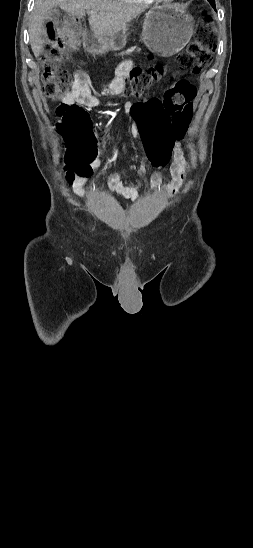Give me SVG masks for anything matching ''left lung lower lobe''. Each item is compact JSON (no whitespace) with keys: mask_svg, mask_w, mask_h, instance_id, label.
<instances>
[{"mask_svg":"<svg viewBox=\"0 0 253 548\" xmlns=\"http://www.w3.org/2000/svg\"><path fill=\"white\" fill-rule=\"evenodd\" d=\"M212 7L215 9V0H208Z\"/></svg>","mask_w":253,"mask_h":548,"instance_id":"obj_1","label":"left lung lower lobe"}]
</instances>
